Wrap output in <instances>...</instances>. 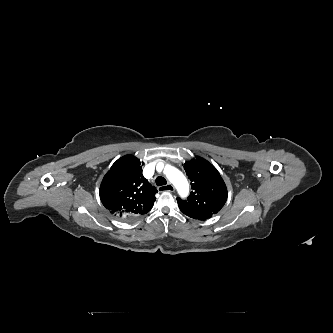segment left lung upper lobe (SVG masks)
Listing matches in <instances>:
<instances>
[{
  "label": "left lung upper lobe",
  "instance_id": "left-lung-upper-lobe-1",
  "mask_svg": "<svg viewBox=\"0 0 333 333\" xmlns=\"http://www.w3.org/2000/svg\"><path fill=\"white\" fill-rule=\"evenodd\" d=\"M184 168L193 191L187 199L177 198L180 210L204 218L218 213L227 200V188L217 169L200 157Z\"/></svg>",
  "mask_w": 333,
  "mask_h": 333
}]
</instances>
